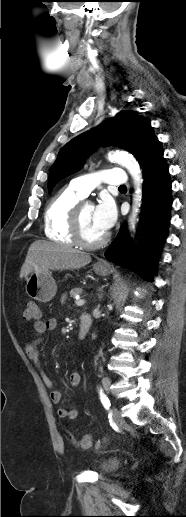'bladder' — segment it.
<instances>
[{
    "mask_svg": "<svg viewBox=\"0 0 186 517\" xmlns=\"http://www.w3.org/2000/svg\"><path fill=\"white\" fill-rule=\"evenodd\" d=\"M120 463H121V461L119 458H109L102 464L101 472L102 473L112 472L120 466Z\"/></svg>",
    "mask_w": 186,
    "mask_h": 517,
    "instance_id": "1",
    "label": "bladder"
}]
</instances>
